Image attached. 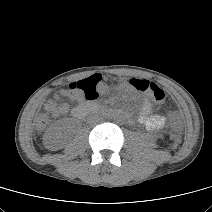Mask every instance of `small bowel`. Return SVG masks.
<instances>
[{"mask_svg":"<svg viewBox=\"0 0 212 212\" xmlns=\"http://www.w3.org/2000/svg\"><path fill=\"white\" fill-rule=\"evenodd\" d=\"M61 96L62 93H57L52 98H49L44 104L45 110L50 112L55 118L66 114L69 110V105L67 103L59 101ZM70 97L74 102H80L82 100V97L78 94L72 93ZM141 113L142 115L139 121L148 130H158L164 126L165 117L160 114H154L153 107L148 100L144 101Z\"/></svg>","mask_w":212,"mask_h":212,"instance_id":"obj_1","label":"small bowel"}]
</instances>
